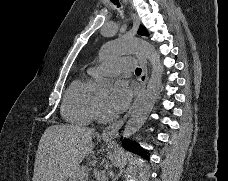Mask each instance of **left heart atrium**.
<instances>
[{
  "label": "left heart atrium",
  "mask_w": 228,
  "mask_h": 181,
  "mask_svg": "<svg viewBox=\"0 0 228 181\" xmlns=\"http://www.w3.org/2000/svg\"><path fill=\"white\" fill-rule=\"evenodd\" d=\"M121 96V101L118 103V98ZM131 97V87L126 80H118L113 87L111 97L109 99V108L115 112H120L128 105Z\"/></svg>",
  "instance_id": "1"
}]
</instances>
